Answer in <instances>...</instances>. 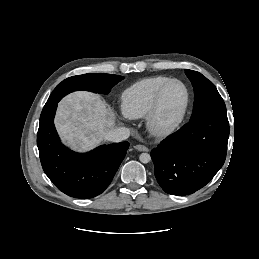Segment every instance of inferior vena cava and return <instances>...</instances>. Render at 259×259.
Listing matches in <instances>:
<instances>
[{"label": "inferior vena cava", "instance_id": "inferior-vena-cava-1", "mask_svg": "<svg viewBox=\"0 0 259 259\" xmlns=\"http://www.w3.org/2000/svg\"><path fill=\"white\" fill-rule=\"evenodd\" d=\"M130 136V130L126 127H117L111 131H109L105 135V140L111 142H121L123 140L128 139Z\"/></svg>", "mask_w": 259, "mask_h": 259}]
</instances>
